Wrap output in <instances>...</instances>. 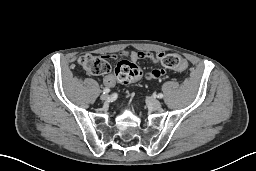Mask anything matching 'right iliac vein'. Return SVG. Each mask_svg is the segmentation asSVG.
<instances>
[{"label": "right iliac vein", "instance_id": "63e3f726", "mask_svg": "<svg viewBox=\"0 0 256 171\" xmlns=\"http://www.w3.org/2000/svg\"><path fill=\"white\" fill-rule=\"evenodd\" d=\"M108 98H109V95H108V94H102V95L100 96V99H101L102 101H106Z\"/></svg>", "mask_w": 256, "mask_h": 171}]
</instances>
